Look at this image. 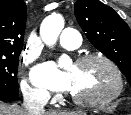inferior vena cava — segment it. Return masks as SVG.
I'll return each instance as SVG.
<instances>
[{
	"instance_id": "602c4592",
	"label": "inferior vena cava",
	"mask_w": 131,
	"mask_h": 115,
	"mask_svg": "<svg viewBox=\"0 0 131 115\" xmlns=\"http://www.w3.org/2000/svg\"><path fill=\"white\" fill-rule=\"evenodd\" d=\"M23 106L30 115L44 114V106L48 103V96L44 94L24 93Z\"/></svg>"
}]
</instances>
